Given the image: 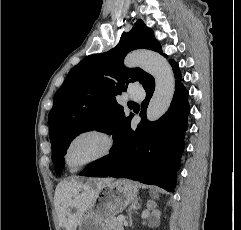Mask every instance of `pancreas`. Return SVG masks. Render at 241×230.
I'll list each match as a JSON object with an SVG mask.
<instances>
[{
	"label": "pancreas",
	"instance_id": "obj_1",
	"mask_svg": "<svg viewBox=\"0 0 241 230\" xmlns=\"http://www.w3.org/2000/svg\"><path fill=\"white\" fill-rule=\"evenodd\" d=\"M107 228L108 230H123V223L113 218L107 222Z\"/></svg>",
	"mask_w": 241,
	"mask_h": 230
}]
</instances>
